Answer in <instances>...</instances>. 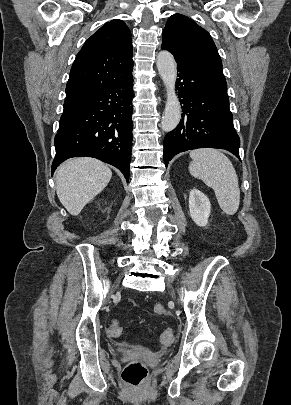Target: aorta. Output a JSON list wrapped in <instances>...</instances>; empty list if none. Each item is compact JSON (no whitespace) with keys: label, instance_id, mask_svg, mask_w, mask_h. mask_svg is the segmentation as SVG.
<instances>
[{"label":"aorta","instance_id":"1","mask_svg":"<svg viewBox=\"0 0 291 405\" xmlns=\"http://www.w3.org/2000/svg\"><path fill=\"white\" fill-rule=\"evenodd\" d=\"M157 69L166 88V105L162 117V129L170 132L176 128L181 118V106L175 91L177 77L174 57L168 51H161L157 55Z\"/></svg>","mask_w":291,"mask_h":405}]
</instances>
